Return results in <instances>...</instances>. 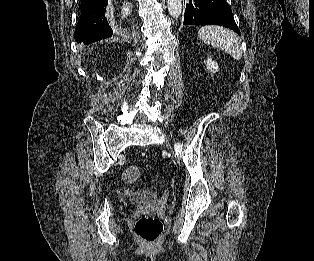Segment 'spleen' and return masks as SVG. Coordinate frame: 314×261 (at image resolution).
Listing matches in <instances>:
<instances>
[{"instance_id":"3e777b00","label":"spleen","mask_w":314,"mask_h":261,"mask_svg":"<svg viewBox=\"0 0 314 261\" xmlns=\"http://www.w3.org/2000/svg\"><path fill=\"white\" fill-rule=\"evenodd\" d=\"M198 37L205 44L225 51L236 60L242 58V47L239 38L226 28L215 25L203 26L198 30Z\"/></svg>"}]
</instances>
